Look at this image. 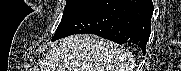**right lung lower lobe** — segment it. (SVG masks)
Here are the masks:
<instances>
[{
    "mask_svg": "<svg viewBox=\"0 0 181 71\" xmlns=\"http://www.w3.org/2000/svg\"><path fill=\"white\" fill-rule=\"evenodd\" d=\"M152 14V0H94L60 28L52 41L91 33L118 44H136L145 54Z\"/></svg>",
    "mask_w": 181,
    "mask_h": 71,
    "instance_id": "1",
    "label": "right lung lower lobe"
}]
</instances>
